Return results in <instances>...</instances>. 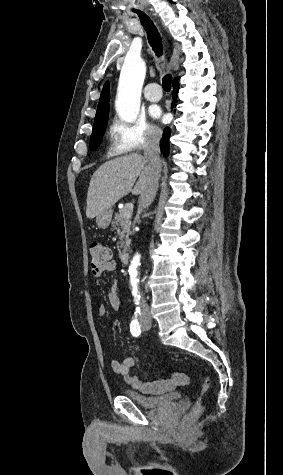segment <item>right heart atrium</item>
<instances>
[{
	"label": "right heart atrium",
	"mask_w": 283,
	"mask_h": 475,
	"mask_svg": "<svg viewBox=\"0 0 283 475\" xmlns=\"http://www.w3.org/2000/svg\"><path fill=\"white\" fill-rule=\"evenodd\" d=\"M161 137V131L144 117L132 121L115 117L109 125L106 151L116 159L117 155H142L156 149Z\"/></svg>",
	"instance_id": "1"
}]
</instances>
